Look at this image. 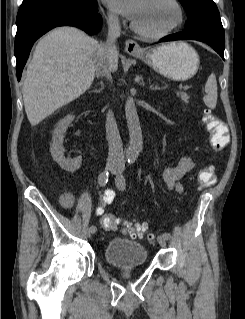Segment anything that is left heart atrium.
I'll list each match as a JSON object with an SVG mask.
<instances>
[{
    "label": "left heart atrium",
    "instance_id": "left-heart-atrium-1",
    "mask_svg": "<svg viewBox=\"0 0 245 319\" xmlns=\"http://www.w3.org/2000/svg\"><path fill=\"white\" fill-rule=\"evenodd\" d=\"M104 2L126 18L134 21L142 8L144 0H104Z\"/></svg>",
    "mask_w": 245,
    "mask_h": 319
}]
</instances>
